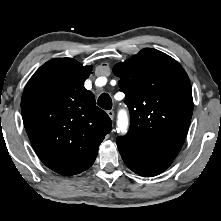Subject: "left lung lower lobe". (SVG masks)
Listing matches in <instances>:
<instances>
[{"label": "left lung lower lobe", "mask_w": 221, "mask_h": 221, "mask_svg": "<svg viewBox=\"0 0 221 221\" xmlns=\"http://www.w3.org/2000/svg\"><path fill=\"white\" fill-rule=\"evenodd\" d=\"M117 146L128 168L141 176H156L172 164V161L169 160H160L146 156L123 141H117Z\"/></svg>", "instance_id": "1"}]
</instances>
